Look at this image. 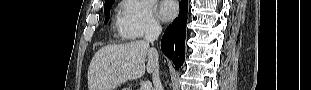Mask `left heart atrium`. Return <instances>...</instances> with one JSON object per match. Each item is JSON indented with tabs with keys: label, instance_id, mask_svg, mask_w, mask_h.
I'll return each mask as SVG.
<instances>
[{
	"label": "left heart atrium",
	"instance_id": "39dd6f15",
	"mask_svg": "<svg viewBox=\"0 0 311 90\" xmlns=\"http://www.w3.org/2000/svg\"><path fill=\"white\" fill-rule=\"evenodd\" d=\"M178 6L173 0H164L160 4V15L164 21H170L177 15Z\"/></svg>",
	"mask_w": 311,
	"mask_h": 90
}]
</instances>
